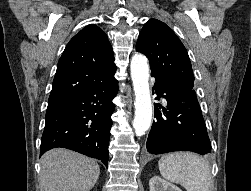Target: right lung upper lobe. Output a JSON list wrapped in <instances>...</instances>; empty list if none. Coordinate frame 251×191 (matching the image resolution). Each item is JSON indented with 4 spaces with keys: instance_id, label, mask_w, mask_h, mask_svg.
Returning a JSON list of instances; mask_svg holds the SVG:
<instances>
[{
    "instance_id": "right-lung-upper-lobe-1",
    "label": "right lung upper lobe",
    "mask_w": 251,
    "mask_h": 191,
    "mask_svg": "<svg viewBox=\"0 0 251 191\" xmlns=\"http://www.w3.org/2000/svg\"><path fill=\"white\" fill-rule=\"evenodd\" d=\"M115 72L107 35L95 25L84 27L67 44L58 62L48 107L109 81Z\"/></svg>"
}]
</instances>
